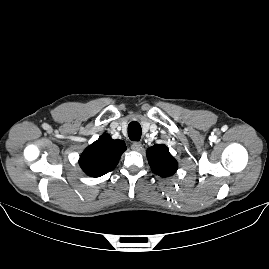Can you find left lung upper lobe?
I'll list each match as a JSON object with an SVG mask.
<instances>
[{
  "mask_svg": "<svg viewBox=\"0 0 269 269\" xmlns=\"http://www.w3.org/2000/svg\"><path fill=\"white\" fill-rule=\"evenodd\" d=\"M147 158L152 171L161 176L168 177L177 170V162L169 153L168 148L163 144H155L148 148Z\"/></svg>",
  "mask_w": 269,
  "mask_h": 269,
  "instance_id": "obj_1",
  "label": "left lung upper lobe"
}]
</instances>
